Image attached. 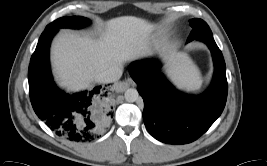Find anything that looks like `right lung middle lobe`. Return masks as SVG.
Masks as SVG:
<instances>
[{"label":"right lung middle lobe","mask_w":267,"mask_h":166,"mask_svg":"<svg viewBox=\"0 0 267 166\" xmlns=\"http://www.w3.org/2000/svg\"><path fill=\"white\" fill-rule=\"evenodd\" d=\"M90 24L89 19L81 16L61 17L46 26L49 28H82Z\"/></svg>","instance_id":"dd1d6c3e"}]
</instances>
